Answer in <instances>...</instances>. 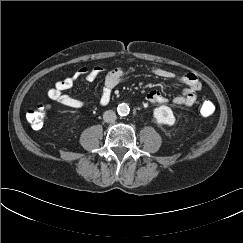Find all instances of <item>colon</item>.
I'll return each mask as SVG.
<instances>
[{"label":"colon","instance_id":"obj_1","mask_svg":"<svg viewBox=\"0 0 243 243\" xmlns=\"http://www.w3.org/2000/svg\"><path fill=\"white\" fill-rule=\"evenodd\" d=\"M46 109H47L46 106L39 105L37 108L28 111L26 118L34 129H40L43 126ZM214 111H215V106L212 102L210 101L202 102L200 106V112L203 116H211L214 113Z\"/></svg>","mask_w":243,"mask_h":243}]
</instances>
